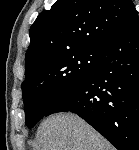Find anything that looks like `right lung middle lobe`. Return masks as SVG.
Segmentation results:
<instances>
[{"mask_svg": "<svg viewBox=\"0 0 139 150\" xmlns=\"http://www.w3.org/2000/svg\"><path fill=\"white\" fill-rule=\"evenodd\" d=\"M102 50L60 54L26 75L22 91L25 122L29 128L43 118L58 100L87 78Z\"/></svg>", "mask_w": 139, "mask_h": 150, "instance_id": "dd1d6c3e", "label": "right lung middle lobe"}]
</instances>
